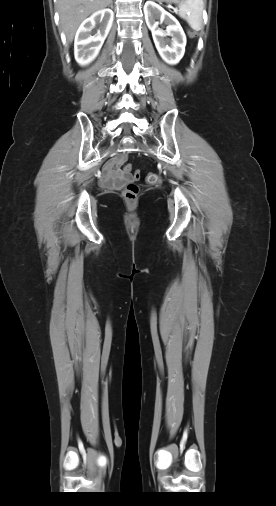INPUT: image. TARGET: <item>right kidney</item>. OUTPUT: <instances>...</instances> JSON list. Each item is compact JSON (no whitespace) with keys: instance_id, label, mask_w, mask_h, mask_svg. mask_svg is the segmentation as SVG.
I'll return each instance as SVG.
<instances>
[{"instance_id":"obj_1","label":"right kidney","mask_w":276,"mask_h":506,"mask_svg":"<svg viewBox=\"0 0 276 506\" xmlns=\"http://www.w3.org/2000/svg\"><path fill=\"white\" fill-rule=\"evenodd\" d=\"M113 17L111 9H101L82 22L74 40V55L80 65H87L96 58L111 29ZM97 24L100 29L91 36L89 33Z\"/></svg>"}]
</instances>
